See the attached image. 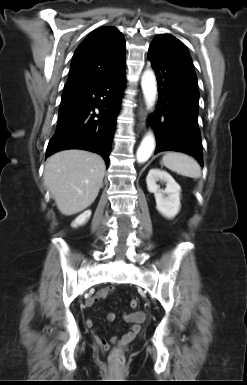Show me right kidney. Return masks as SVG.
<instances>
[{"label":"right kidney","instance_id":"obj_1","mask_svg":"<svg viewBox=\"0 0 247 385\" xmlns=\"http://www.w3.org/2000/svg\"><path fill=\"white\" fill-rule=\"evenodd\" d=\"M91 216V211L90 210H87L85 212H83L81 215H79L75 220L74 222L72 223V227L76 228L78 226H81L83 224H85L88 219L90 218Z\"/></svg>","mask_w":247,"mask_h":385}]
</instances>
